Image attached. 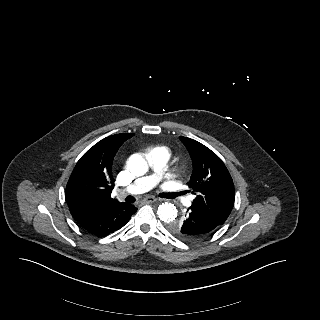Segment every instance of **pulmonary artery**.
<instances>
[{"label":"pulmonary artery","mask_w":320,"mask_h":320,"mask_svg":"<svg viewBox=\"0 0 320 320\" xmlns=\"http://www.w3.org/2000/svg\"><path fill=\"white\" fill-rule=\"evenodd\" d=\"M152 174L136 179L127 186L123 193L140 194L152 189L161 179L163 171L169 160V153L165 149H154L147 154Z\"/></svg>","instance_id":"obj_1"}]
</instances>
